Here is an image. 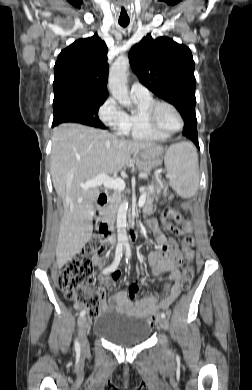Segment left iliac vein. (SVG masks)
Segmentation results:
<instances>
[{"mask_svg": "<svg viewBox=\"0 0 252 390\" xmlns=\"http://www.w3.org/2000/svg\"><path fill=\"white\" fill-rule=\"evenodd\" d=\"M158 324H159V326L162 329L168 330L169 324H168V321L165 318H159L158 319Z\"/></svg>", "mask_w": 252, "mask_h": 390, "instance_id": "1", "label": "left iliac vein"}]
</instances>
